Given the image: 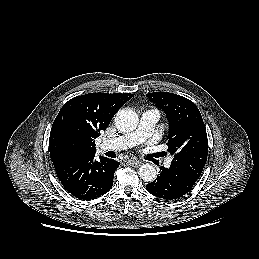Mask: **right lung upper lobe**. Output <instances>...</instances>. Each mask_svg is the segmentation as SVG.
Here are the masks:
<instances>
[{
  "instance_id": "right-lung-upper-lobe-1",
  "label": "right lung upper lobe",
  "mask_w": 259,
  "mask_h": 259,
  "mask_svg": "<svg viewBox=\"0 0 259 259\" xmlns=\"http://www.w3.org/2000/svg\"><path fill=\"white\" fill-rule=\"evenodd\" d=\"M133 96L129 93H89L67 101L55 118L49 137L54 167L75 157L94 155L95 139Z\"/></svg>"
}]
</instances>
